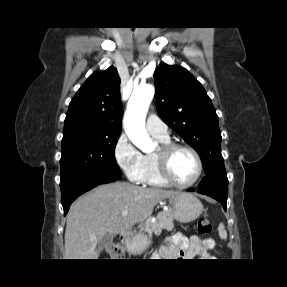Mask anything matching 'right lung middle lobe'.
Wrapping results in <instances>:
<instances>
[{
  "mask_svg": "<svg viewBox=\"0 0 287 287\" xmlns=\"http://www.w3.org/2000/svg\"><path fill=\"white\" fill-rule=\"evenodd\" d=\"M120 132L98 131L79 125L64 131L62 139L61 182L85 173L121 178L114 151Z\"/></svg>",
  "mask_w": 287,
  "mask_h": 287,
  "instance_id": "dd1d6c3e",
  "label": "right lung middle lobe"
}]
</instances>
